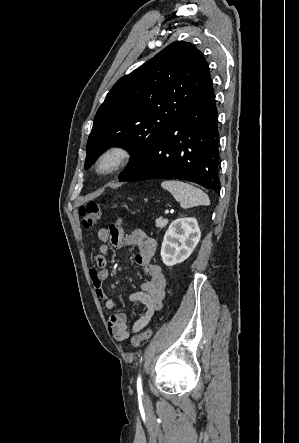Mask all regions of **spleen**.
<instances>
[{"mask_svg":"<svg viewBox=\"0 0 299 443\" xmlns=\"http://www.w3.org/2000/svg\"><path fill=\"white\" fill-rule=\"evenodd\" d=\"M161 186L173 195L182 208L187 209L199 205H210L209 197L201 189L188 183L165 180L161 183Z\"/></svg>","mask_w":299,"mask_h":443,"instance_id":"spleen-1","label":"spleen"}]
</instances>
